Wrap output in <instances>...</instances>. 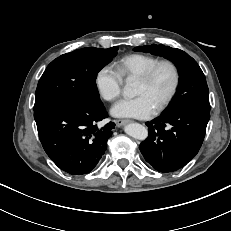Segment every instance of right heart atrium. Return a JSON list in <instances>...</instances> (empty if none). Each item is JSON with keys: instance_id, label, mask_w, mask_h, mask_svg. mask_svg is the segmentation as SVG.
<instances>
[{"instance_id": "right-heart-atrium-1", "label": "right heart atrium", "mask_w": 231, "mask_h": 231, "mask_svg": "<svg viewBox=\"0 0 231 231\" xmlns=\"http://www.w3.org/2000/svg\"><path fill=\"white\" fill-rule=\"evenodd\" d=\"M95 85L100 96L104 100L112 102L121 94L123 78L115 68L105 65L97 71Z\"/></svg>"}]
</instances>
